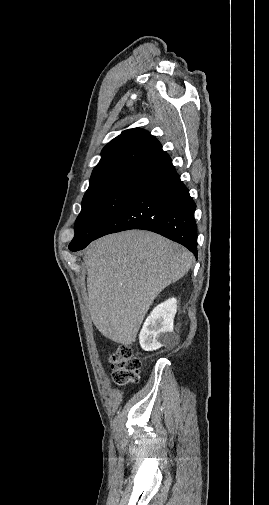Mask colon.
Returning <instances> with one entry per match:
<instances>
[{"instance_id": "obj_1", "label": "colon", "mask_w": 269, "mask_h": 505, "mask_svg": "<svg viewBox=\"0 0 269 505\" xmlns=\"http://www.w3.org/2000/svg\"><path fill=\"white\" fill-rule=\"evenodd\" d=\"M112 379L118 385L137 382L140 376L141 360L127 345H120L109 358Z\"/></svg>"}]
</instances>
